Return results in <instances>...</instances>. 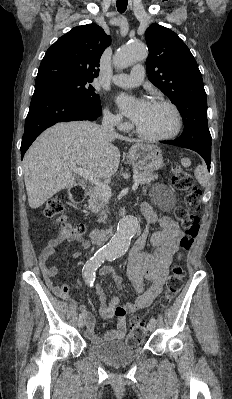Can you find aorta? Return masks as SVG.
Instances as JSON below:
<instances>
[{
    "mask_svg": "<svg viewBox=\"0 0 232 399\" xmlns=\"http://www.w3.org/2000/svg\"><path fill=\"white\" fill-rule=\"evenodd\" d=\"M147 54V47L143 43L133 42L126 44L115 53L113 64L117 69H124L137 61L144 60ZM137 231V218L134 216L123 217L118 223L117 232L100 253L108 257L124 255L130 246L131 238Z\"/></svg>",
    "mask_w": 232,
    "mask_h": 399,
    "instance_id": "762f6f07",
    "label": "aorta"
}]
</instances>
